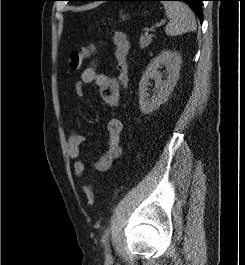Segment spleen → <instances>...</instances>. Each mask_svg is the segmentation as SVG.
I'll return each instance as SVG.
<instances>
[{"mask_svg": "<svg viewBox=\"0 0 245 265\" xmlns=\"http://www.w3.org/2000/svg\"><path fill=\"white\" fill-rule=\"evenodd\" d=\"M162 3L166 10L165 14L170 20L165 27L167 35L176 36L196 30L195 15L185 3L179 1H164Z\"/></svg>", "mask_w": 245, "mask_h": 265, "instance_id": "obj_1", "label": "spleen"}]
</instances>
